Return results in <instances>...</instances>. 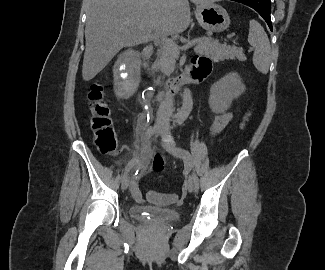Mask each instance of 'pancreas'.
<instances>
[{
	"label": "pancreas",
	"mask_w": 325,
	"mask_h": 270,
	"mask_svg": "<svg viewBox=\"0 0 325 270\" xmlns=\"http://www.w3.org/2000/svg\"><path fill=\"white\" fill-rule=\"evenodd\" d=\"M194 50L196 53L211 57L214 61H224L226 59H238L239 61L246 60L242 48L223 45L217 40L209 37L199 38ZM178 56L179 50L169 44H164L158 51V56L154 65L165 75L169 76L174 71L175 62Z\"/></svg>",
	"instance_id": "1"
}]
</instances>
